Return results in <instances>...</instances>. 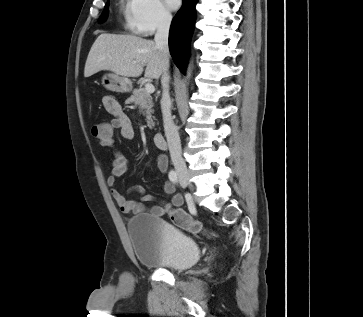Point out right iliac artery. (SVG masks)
<instances>
[{"label": "right iliac artery", "instance_id": "1", "mask_svg": "<svg viewBox=\"0 0 363 317\" xmlns=\"http://www.w3.org/2000/svg\"><path fill=\"white\" fill-rule=\"evenodd\" d=\"M169 179L172 183L177 184L178 182V177H177V173L175 171H170L169 172Z\"/></svg>", "mask_w": 363, "mask_h": 317}]
</instances>
